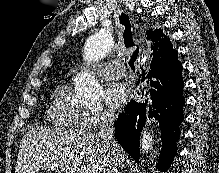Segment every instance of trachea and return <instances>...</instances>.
Returning <instances> with one entry per match:
<instances>
[{"label":"trachea","instance_id":"trachea-1","mask_svg":"<svg viewBox=\"0 0 219 173\" xmlns=\"http://www.w3.org/2000/svg\"><path fill=\"white\" fill-rule=\"evenodd\" d=\"M120 23L122 25H124L125 29L123 32V39H124V44L126 48H130L134 46V42H133V34H132V30H131V23L129 18L125 15V14H121L120 17ZM138 53L139 50L138 48L133 52V54L131 55V58L129 60V65L132 69H134V63L136 62V59L138 57Z\"/></svg>","mask_w":219,"mask_h":173}]
</instances>
